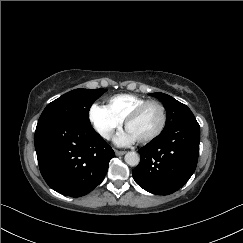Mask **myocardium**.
Returning a JSON list of instances; mask_svg holds the SVG:
<instances>
[{
	"instance_id": "obj_1",
	"label": "myocardium",
	"mask_w": 243,
	"mask_h": 243,
	"mask_svg": "<svg viewBox=\"0 0 243 243\" xmlns=\"http://www.w3.org/2000/svg\"><path fill=\"white\" fill-rule=\"evenodd\" d=\"M151 105H157L160 110H161V114H162V118H161V123L160 126L158 127V129L152 133L150 136L142 139V140H138L136 141L139 144H147L150 143L152 141H154L156 138H158L162 132L164 131L166 124H167V109L165 107V105L158 100H150L147 101L143 104H141L140 106H138L137 108H135L125 119V127L126 129L128 128L129 124L131 122H133L134 120H136L137 118H139V116L142 114V112L149 106Z\"/></svg>"
}]
</instances>
